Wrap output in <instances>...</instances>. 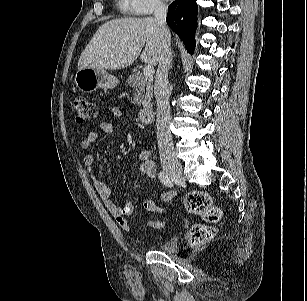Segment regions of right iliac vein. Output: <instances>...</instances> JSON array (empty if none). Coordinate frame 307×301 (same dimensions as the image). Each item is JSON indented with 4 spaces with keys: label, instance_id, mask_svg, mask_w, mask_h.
<instances>
[{
    "label": "right iliac vein",
    "instance_id": "63e3f726",
    "mask_svg": "<svg viewBox=\"0 0 307 301\" xmlns=\"http://www.w3.org/2000/svg\"><path fill=\"white\" fill-rule=\"evenodd\" d=\"M162 167L172 177L182 178V166L175 157L171 155L163 157Z\"/></svg>",
    "mask_w": 307,
    "mask_h": 301
}]
</instances>
